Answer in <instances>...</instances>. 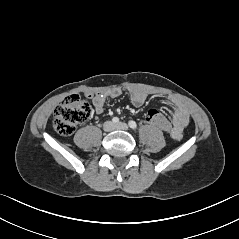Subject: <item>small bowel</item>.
<instances>
[{
	"label": "small bowel",
	"instance_id": "small-bowel-1",
	"mask_svg": "<svg viewBox=\"0 0 239 239\" xmlns=\"http://www.w3.org/2000/svg\"><path fill=\"white\" fill-rule=\"evenodd\" d=\"M120 94L118 90L97 92L95 94L89 95L92 97L95 112L97 114H102L105 109V102L109 98H115ZM130 98L134 105H142L147 94L139 89H132L130 91ZM172 105V121L170 122V127L164 132L168 133L170 137L174 140H180L183 136L184 129L189 123V114L186 108L175 98H169Z\"/></svg>",
	"mask_w": 239,
	"mask_h": 239
}]
</instances>
